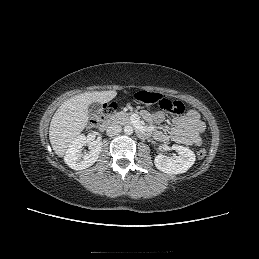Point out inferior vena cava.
<instances>
[{"label":"inferior vena cava","mask_w":259,"mask_h":259,"mask_svg":"<svg viewBox=\"0 0 259 259\" xmlns=\"http://www.w3.org/2000/svg\"><path fill=\"white\" fill-rule=\"evenodd\" d=\"M121 131H122L121 125L117 123H111L107 127L106 133L108 136L112 137V136L118 135Z\"/></svg>","instance_id":"inferior-vena-cava-1"}]
</instances>
